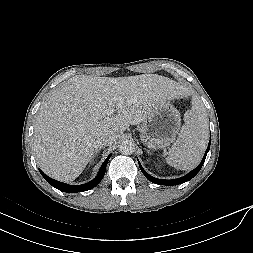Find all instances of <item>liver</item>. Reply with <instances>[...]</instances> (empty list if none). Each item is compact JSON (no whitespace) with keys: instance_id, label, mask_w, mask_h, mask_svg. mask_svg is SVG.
I'll list each match as a JSON object with an SVG mask.
<instances>
[{"instance_id":"1","label":"liver","mask_w":253,"mask_h":253,"mask_svg":"<svg viewBox=\"0 0 253 253\" xmlns=\"http://www.w3.org/2000/svg\"><path fill=\"white\" fill-rule=\"evenodd\" d=\"M185 94L174 80L157 74L129 77L75 76L43 103L34 126V152L50 177L73 181L99 148V135L119 138L130 125L143 122L161 103ZM123 104L116 115L108 111Z\"/></svg>"}]
</instances>
